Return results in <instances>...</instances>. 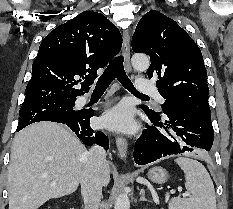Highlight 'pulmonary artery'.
<instances>
[{"mask_svg": "<svg viewBox=\"0 0 233 209\" xmlns=\"http://www.w3.org/2000/svg\"><path fill=\"white\" fill-rule=\"evenodd\" d=\"M137 90L142 94L153 95L159 104L164 103V98L158 93L154 83L150 80L138 79ZM84 100H86V98H84Z\"/></svg>", "mask_w": 233, "mask_h": 209, "instance_id": "obj_1", "label": "pulmonary artery"}]
</instances>
